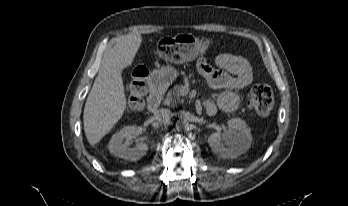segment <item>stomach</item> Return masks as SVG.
Returning <instances> with one entry per match:
<instances>
[{"mask_svg": "<svg viewBox=\"0 0 348 206\" xmlns=\"http://www.w3.org/2000/svg\"><path fill=\"white\" fill-rule=\"evenodd\" d=\"M182 48L186 51L188 59H194L198 55L203 54L210 44L207 38H197L191 34H183ZM178 76L177 70L173 66H165L154 70L151 74V80L159 87H167L172 84Z\"/></svg>", "mask_w": 348, "mask_h": 206, "instance_id": "stomach-1", "label": "stomach"}]
</instances>
